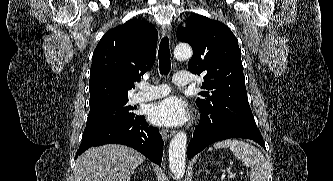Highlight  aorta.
Here are the masks:
<instances>
[{
  "label": "aorta",
  "instance_id": "1",
  "mask_svg": "<svg viewBox=\"0 0 333 181\" xmlns=\"http://www.w3.org/2000/svg\"><path fill=\"white\" fill-rule=\"evenodd\" d=\"M174 56L178 60H186L192 56V49L188 44H180L174 50ZM187 135L178 132L169 145V167L174 177L181 179L185 173Z\"/></svg>",
  "mask_w": 333,
  "mask_h": 181
}]
</instances>
